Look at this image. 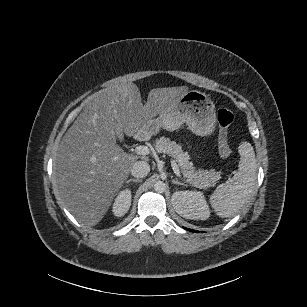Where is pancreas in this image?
<instances>
[{
	"label": "pancreas",
	"mask_w": 307,
	"mask_h": 307,
	"mask_svg": "<svg viewBox=\"0 0 307 307\" xmlns=\"http://www.w3.org/2000/svg\"><path fill=\"white\" fill-rule=\"evenodd\" d=\"M155 148L159 153H166L176 159L180 160L181 172L193 185L202 189L215 186L221 176L220 172L211 170H195L193 163L190 162V156L188 152L182 150L181 145L175 141H171L169 138L160 137L155 141Z\"/></svg>",
	"instance_id": "cf45deb5"
}]
</instances>
